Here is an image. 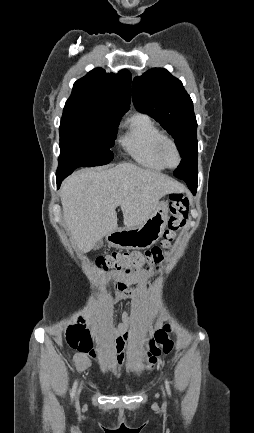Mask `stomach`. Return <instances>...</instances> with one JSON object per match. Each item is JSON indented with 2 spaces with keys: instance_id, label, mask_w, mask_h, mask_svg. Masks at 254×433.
<instances>
[{
  "instance_id": "1",
  "label": "stomach",
  "mask_w": 254,
  "mask_h": 433,
  "mask_svg": "<svg viewBox=\"0 0 254 433\" xmlns=\"http://www.w3.org/2000/svg\"><path fill=\"white\" fill-rule=\"evenodd\" d=\"M168 221V205L162 201L139 226L119 228L107 235L110 246L120 249H146L162 236Z\"/></svg>"
}]
</instances>
